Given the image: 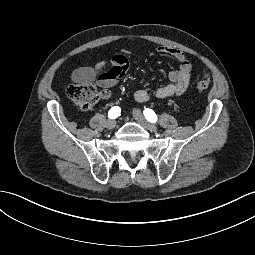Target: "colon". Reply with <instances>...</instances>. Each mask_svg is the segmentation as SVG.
I'll return each instance as SVG.
<instances>
[{
	"label": "colon",
	"instance_id": "colon-1",
	"mask_svg": "<svg viewBox=\"0 0 255 255\" xmlns=\"http://www.w3.org/2000/svg\"><path fill=\"white\" fill-rule=\"evenodd\" d=\"M210 81L207 79L199 80L196 88L205 91L209 88ZM66 94L79 108L83 110L91 109L99 98V91L91 84H70L67 86Z\"/></svg>",
	"mask_w": 255,
	"mask_h": 255
}]
</instances>
